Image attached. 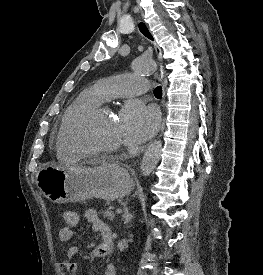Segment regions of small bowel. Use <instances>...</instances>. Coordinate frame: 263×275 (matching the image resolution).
Segmentation results:
<instances>
[{"mask_svg": "<svg viewBox=\"0 0 263 275\" xmlns=\"http://www.w3.org/2000/svg\"><path fill=\"white\" fill-rule=\"evenodd\" d=\"M84 218L91 224L92 229L102 237V242L93 250L92 256L96 259L108 257L112 253V233L109 226L99 218L95 209L86 210ZM73 235V226L67 225L59 230V239L62 242L70 241ZM80 250V244L73 245L67 249L65 256L59 263L63 272L68 275H77L78 265L75 257ZM104 275H117L115 265L108 263L105 267Z\"/></svg>", "mask_w": 263, "mask_h": 275, "instance_id": "small-bowel-1", "label": "small bowel"}]
</instances>
